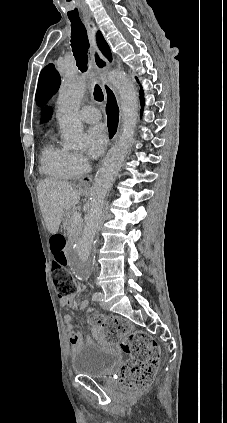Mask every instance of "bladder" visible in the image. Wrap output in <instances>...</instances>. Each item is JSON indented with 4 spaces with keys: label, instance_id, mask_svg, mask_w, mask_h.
<instances>
[{
    "label": "bladder",
    "instance_id": "31cf9c89",
    "mask_svg": "<svg viewBox=\"0 0 227 423\" xmlns=\"http://www.w3.org/2000/svg\"><path fill=\"white\" fill-rule=\"evenodd\" d=\"M117 353L101 348L99 344H84L73 356L72 371L80 377L107 379L119 366Z\"/></svg>",
    "mask_w": 227,
    "mask_h": 423
}]
</instances>
